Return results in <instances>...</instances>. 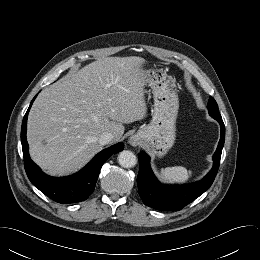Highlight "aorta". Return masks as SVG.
<instances>
[{
  "instance_id": "aorta-1",
  "label": "aorta",
  "mask_w": 260,
  "mask_h": 260,
  "mask_svg": "<svg viewBox=\"0 0 260 260\" xmlns=\"http://www.w3.org/2000/svg\"><path fill=\"white\" fill-rule=\"evenodd\" d=\"M118 162L124 168H132L136 165L137 158L133 152L129 150H124L119 153Z\"/></svg>"
}]
</instances>
